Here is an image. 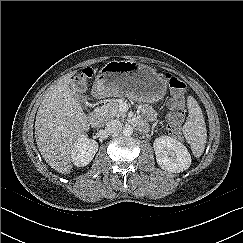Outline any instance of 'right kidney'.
Wrapping results in <instances>:
<instances>
[{
	"instance_id": "1",
	"label": "right kidney",
	"mask_w": 243,
	"mask_h": 243,
	"mask_svg": "<svg viewBox=\"0 0 243 243\" xmlns=\"http://www.w3.org/2000/svg\"><path fill=\"white\" fill-rule=\"evenodd\" d=\"M98 151V143L95 140L89 139L84 134H80L71 152V161L77 167L88 165L96 152Z\"/></svg>"
}]
</instances>
